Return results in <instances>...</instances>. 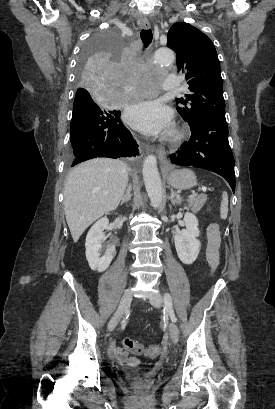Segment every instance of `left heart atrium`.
Segmentation results:
<instances>
[{"mask_svg": "<svg viewBox=\"0 0 275 409\" xmlns=\"http://www.w3.org/2000/svg\"><path fill=\"white\" fill-rule=\"evenodd\" d=\"M126 119L136 130L147 135H157L169 130L172 113L156 100H141L127 109Z\"/></svg>", "mask_w": 275, "mask_h": 409, "instance_id": "39dd6f15", "label": "left heart atrium"}]
</instances>
